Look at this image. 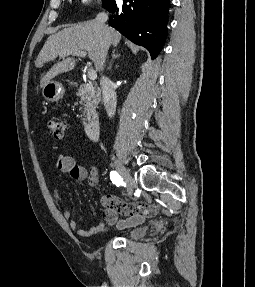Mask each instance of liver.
<instances>
[{"mask_svg": "<svg viewBox=\"0 0 255 287\" xmlns=\"http://www.w3.org/2000/svg\"><path fill=\"white\" fill-rule=\"evenodd\" d=\"M120 40L119 32L108 26L103 28L100 24H96L95 20L82 22V24H67L64 30L47 38V42L35 60L36 68H42L43 64L52 62L55 58L63 60L54 64L53 68L41 78L40 88H44L55 76L74 70L77 60L66 56H76L77 52H88L98 72L102 68V62L106 60V42L112 46H118Z\"/></svg>", "mask_w": 255, "mask_h": 287, "instance_id": "1", "label": "liver"}]
</instances>
